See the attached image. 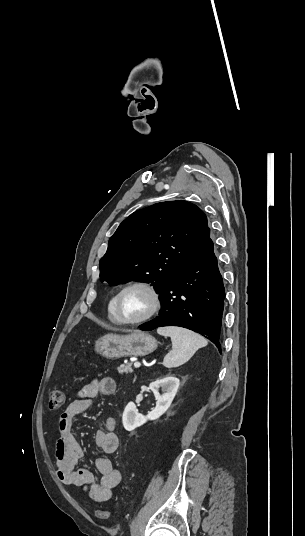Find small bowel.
<instances>
[{
  "mask_svg": "<svg viewBox=\"0 0 305 536\" xmlns=\"http://www.w3.org/2000/svg\"><path fill=\"white\" fill-rule=\"evenodd\" d=\"M115 391L116 382L113 378L105 377L89 381L79 390L77 398L68 405L58 421L56 475L65 485L81 488L95 502H105L111 499L115 488L121 482V473L106 456L95 460L96 469L101 475L100 479H97L88 469L75 470L84 452L72 428L77 416L91 407L96 396L111 395ZM115 430V418L107 417L103 422V429L94 434L96 446L106 454L114 453L118 448Z\"/></svg>",
  "mask_w": 305,
  "mask_h": 536,
  "instance_id": "1",
  "label": "small bowel"
}]
</instances>
